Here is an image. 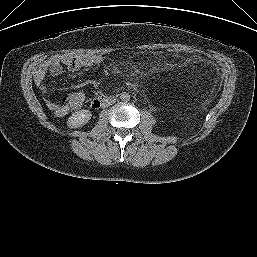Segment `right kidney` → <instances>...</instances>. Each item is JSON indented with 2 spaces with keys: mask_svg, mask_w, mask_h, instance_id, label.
Returning a JSON list of instances; mask_svg holds the SVG:
<instances>
[{
  "mask_svg": "<svg viewBox=\"0 0 257 257\" xmlns=\"http://www.w3.org/2000/svg\"><path fill=\"white\" fill-rule=\"evenodd\" d=\"M91 116L92 114L89 110L77 111L69 117L67 121V125L70 128L81 127L89 122V120L91 119Z\"/></svg>",
  "mask_w": 257,
  "mask_h": 257,
  "instance_id": "right-kidney-1",
  "label": "right kidney"
}]
</instances>
